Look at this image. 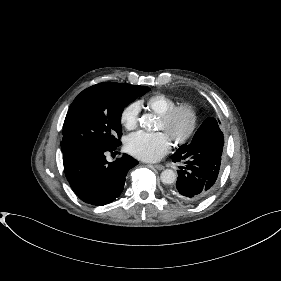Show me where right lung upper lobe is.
I'll list each match as a JSON object with an SVG mask.
<instances>
[{"mask_svg": "<svg viewBox=\"0 0 281 281\" xmlns=\"http://www.w3.org/2000/svg\"><path fill=\"white\" fill-rule=\"evenodd\" d=\"M100 84H106V85H110L116 88H123V87H128L130 86L129 84H124V83H112V82H107V83H100Z\"/></svg>", "mask_w": 281, "mask_h": 281, "instance_id": "1", "label": "right lung upper lobe"}]
</instances>
